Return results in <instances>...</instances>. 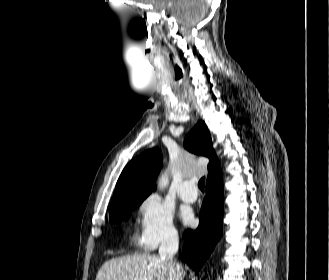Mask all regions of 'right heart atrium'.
<instances>
[{"label":"right heart atrium","instance_id":"obj_1","mask_svg":"<svg viewBox=\"0 0 329 280\" xmlns=\"http://www.w3.org/2000/svg\"><path fill=\"white\" fill-rule=\"evenodd\" d=\"M138 243L146 250H155L161 244L174 242L178 231L171 208L158 195L147 196L138 206Z\"/></svg>","mask_w":329,"mask_h":280}]
</instances>
